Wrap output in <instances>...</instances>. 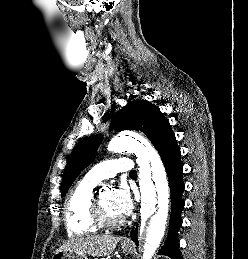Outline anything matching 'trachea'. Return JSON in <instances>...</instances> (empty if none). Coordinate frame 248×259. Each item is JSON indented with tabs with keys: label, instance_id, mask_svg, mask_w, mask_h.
I'll use <instances>...</instances> for the list:
<instances>
[{
	"label": "trachea",
	"instance_id": "obj_1",
	"mask_svg": "<svg viewBox=\"0 0 248 259\" xmlns=\"http://www.w3.org/2000/svg\"><path fill=\"white\" fill-rule=\"evenodd\" d=\"M130 174H131V175L136 174V171H135V170H132V171L130 172Z\"/></svg>",
	"mask_w": 248,
	"mask_h": 259
}]
</instances>
